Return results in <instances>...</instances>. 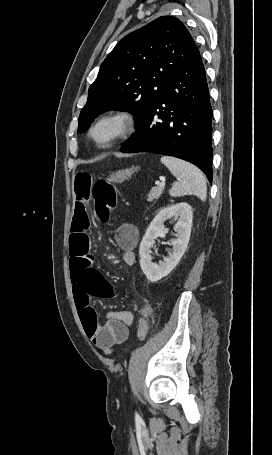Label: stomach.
Here are the masks:
<instances>
[{
  "mask_svg": "<svg viewBox=\"0 0 272 455\" xmlns=\"http://www.w3.org/2000/svg\"><path fill=\"white\" fill-rule=\"evenodd\" d=\"M137 170V167H132L129 169L117 171L110 176L109 180L115 183H121L129 179L133 173L137 172Z\"/></svg>",
  "mask_w": 272,
  "mask_h": 455,
  "instance_id": "0dacf381",
  "label": "stomach"
}]
</instances>
